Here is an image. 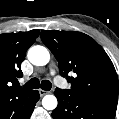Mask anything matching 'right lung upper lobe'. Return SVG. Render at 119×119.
Segmentation results:
<instances>
[{"label":"right lung upper lobe","mask_w":119,"mask_h":119,"mask_svg":"<svg viewBox=\"0 0 119 119\" xmlns=\"http://www.w3.org/2000/svg\"><path fill=\"white\" fill-rule=\"evenodd\" d=\"M39 31L0 34V100L17 96L29 89L17 86V78L27 49L35 42Z\"/></svg>","instance_id":"cb5924a9"}]
</instances>
